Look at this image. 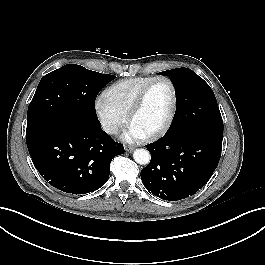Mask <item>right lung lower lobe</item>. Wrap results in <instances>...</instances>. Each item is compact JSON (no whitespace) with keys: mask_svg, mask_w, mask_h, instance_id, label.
Returning a JSON list of instances; mask_svg holds the SVG:
<instances>
[{"mask_svg":"<svg viewBox=\"0 0 265 265\" xmlns=\"http://www.w3.org/2000/svg\"><path fill=\"white\" fill-rule=\"evenodd\" d=\"M32 161L43 178L70 194H85L103 186L112 159L124 153L101 128L100 122L64 119L26 134Z\"/></svg>","mask_w":265,"mask_h":265,"instance_id":"1","label":"right lung lower lobe"}]
</instances>
